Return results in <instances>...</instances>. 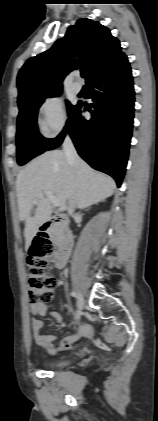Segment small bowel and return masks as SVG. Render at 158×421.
<instances>
[{
  "label": "small bowel",
  "instance_id": "small-bowel-1",
  "mask_svg": "<svg viewBox=\"0 0 158 421\" xmlns=\"http://www.w3.org/2000/svg\"><path fill=\"white\" fill-rule=\"evenodd\" d=\"M30 308L34 315L45 316L48 311L47 305L45 303L31 304ZM51 315L56 323H61L62 318L58 312L52 311ZM42 328L43 322L41 320H32L33 337L36 344L51 353L68 349L75 340V335H70L65 337L58 346H55L54 341L56 338L54 336L43 333ZM76 333L79 336H90L92 335L93 330L89 325H80Z\"/></svg>",
  "mask_w": 158,
  "mask_h": 421
}]
</instances>
